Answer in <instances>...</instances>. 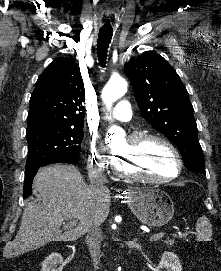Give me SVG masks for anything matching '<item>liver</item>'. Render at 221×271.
Here are the masks:
<instances>
[{"instance_id": "liver-1", "label": "liver", "mask_w": 221, "mask_h": 271, "mask_svg": "<svg viewBox=\"0 0 221 271\" xmlns=\"http://www.w3.org/2000/svg\"><path fill=\"white\" fill-rule=\"evenodd\" d=\"M38 201H27L19 231L3 247V257H16L48 241H74L87 233L93 221H105L110 197H98L75 165H48L38 169L32 183ZM65 219H79L72 229H61Z\"/></svg>"}]
</instances>
